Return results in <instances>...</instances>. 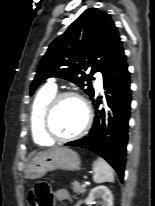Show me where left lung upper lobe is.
Instances as JSON below:
<instances>
[{
    "label": "left lung upper lobe",
    "instance_id": "obj_1",
    "mask_svg": "<svg viewBox=\"0 0 155 206\" xmlns=\"http://www.w3.org/2000/svg\"><path fill=\"white\" fill-rule=\"evenodd\" d=\"M122 50L111 17L96 8L87 9L50 44L30 86L31 94L45 79L59 77L82 89L87 86L85 92L92 99L95 91L91 76L98 71L104 74ZM86 71L90 74L86 75Z\"/></svg>",
    "mask_w": 155,
    "mask_h": 206
}]
</instances>
